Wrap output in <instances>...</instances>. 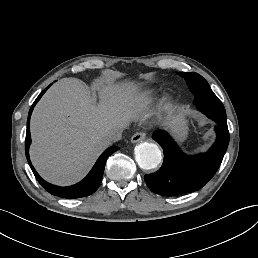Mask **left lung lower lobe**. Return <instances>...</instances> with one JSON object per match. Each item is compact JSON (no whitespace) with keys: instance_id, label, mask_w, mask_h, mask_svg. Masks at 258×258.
Listing matches in <instances>:
<instances>
[{"instance_id":"obj_1","label":"left lung lower lobe","mask_w":258,"mask_h":258,"mask_svg":"<svg viewBox=\"0 0 258 258\" xmlns=\"http://www.w3.org/2000/svg\"><path fill=\"white\" fill-rule=\"evenodd\" d=\"M194 97L198 110L217 124V139L206 153L188 156L168 133L163 130L155 132L153 139L163 148L164 161L157 172L144 176L154 193L175 196L197 191L214 176L223 160L229 144L225 108L211 88L195 91Z\"/></svg>"}]
</instances>
